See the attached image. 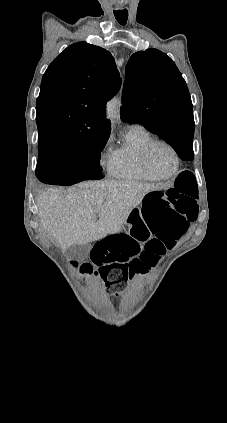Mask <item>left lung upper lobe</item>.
Listing matches in <instances>:
<instances>
[{
    "label": "left lung upper lobe",
    "instance_id": "obj_1",
    "mask_svg": "<svg viewBox=\"0 0 227 423\" xmlns=\"http://www.w3.org/2000/svg\"><path fill=\"white\" fill-rule=\"evenodd\" d=\"M123 122L139 123L172 145L193 141L190 94L173 60L157 49L134 53L126 66Z\"/></svg>",
    "mask_w": 227,
    "mask_h": 423
}]
</instances>
